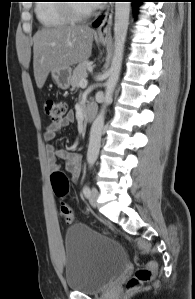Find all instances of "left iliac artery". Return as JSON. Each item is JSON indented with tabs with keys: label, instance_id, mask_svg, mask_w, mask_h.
<instances>
[{
	"label": "left iliac artery",
	"instance_id": "obj_1",
	"mask_svg": "<svg viewBox=\"0 0 195 299\" xmlns=\"http://www.w3.org/2000/svg\"><path fill=\"white\" fill-rule=\"evenodd\" d=\"M93 165H94L93 161L89 162L90 169L93 167ZM83 193H84V195H85L86 198H88L90 196V188H89V186H85L84 187Z\"/></svg>",
	"mask_w": 195,
	"mask_h": 299
}]
</instances>
